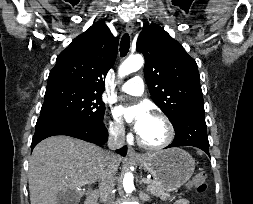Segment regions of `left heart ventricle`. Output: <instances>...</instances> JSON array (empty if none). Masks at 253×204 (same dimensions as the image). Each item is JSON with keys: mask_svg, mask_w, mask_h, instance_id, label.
<instances>
[{"mask_svg": "<svg viewBox=\"0 0 253 204\" xmlns=\"http://www.w3.org/2000/svg\"><path fill=\"white\" fill-rule=\"evenodd\" d=\"M138 135L148 144H159L165 140L167 129L160 119L151 116Z\"/></svg>", "mask_w": 253, "mask_h": 204, "instance_id": "obj_1", "label": "left heart ventricle"}]
</instances>
